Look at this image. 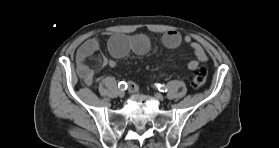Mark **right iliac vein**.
Masks as SVG:
<instances>
[{
	"instance_id": "obj_1",
	"label": "right iliac vein",
	"mask_w": 279,
	"mask_h": 148,
	"mask_svg": "<svg viewBox=\"0 0 279 148\" xmlns=\"http://www.w3.org/2000/svg\"><path fill=\"white\" fill-rule=\"evenodd\" d=\"M118 95H119V97H124L125 96V91L124 90H119L118 91Z\"/></svg>"
}]
</instances>
